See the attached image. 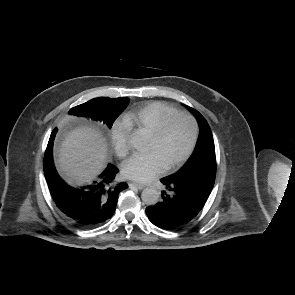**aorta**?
Returning <instances> with one entry per match:
<instances>
[{"label": "aorta", "instance_id": "aorta-1", "mask_svg": "<svg viewBox=\"0 0 295 295\" xmlns=\"http://www.w3.org/2000/svg\"><path fill=\"white\" fill-rule=\"evenodd\" d=\"M131 145L140 149L143 145V140L139 135H135L131 138ZM142 201L147 205H155L159 201V192L155 188H146L141 193Z\"/></svg>", "mask_w": 295, "mask_h": 295}]
</instances>
